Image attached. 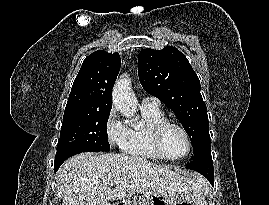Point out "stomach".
Wrapping results in <instances>:
<instances>
[{
    "instance_id": "0dacf381",
    "label": "stomach",
    "mask_w": 269,
    "mask_h": 205,
    "mask_svg": "<svg viewBox=\"0 0 269 205\" xmlns=\"http://www.w3.org/2000/svg\"><path fill=\"white\" fill-rule=\"evenodd\" d=\"M115 205H207L203 194L179 195L171 198L154 194H144L138 202L122 200Z\"/></svg>"
}]
</instances>
